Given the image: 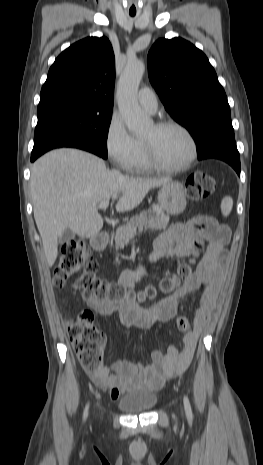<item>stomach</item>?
Instances as JSON below:
<instances>
[{
    "mask_svg": "<svg viewBox=\"0 0 263 465\" xmlns=\"http://www.w3.org/2000/svg\"><path fill=\"white\" fill-rule=\"evenodd\" d=\"M158 204L168 214H181L187 204L183 185L179 182L163 185L158 192Z\"/></svg>",
    "mask_w": 263,
    "mask_h": 465,
    "instance_id": "0dacf381",
    "label": "stomach"
}]
</instances>
